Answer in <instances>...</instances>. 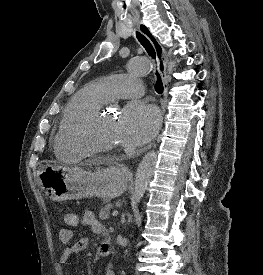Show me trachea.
<instances>
[{"label":"trachea","instance_id":"3493384b","mask_svg":"<svg viewBox=\"0 0 263 275\" xmlns=\"http://www.w3.org/2000/svg\"><path fill=\"white\" fill-rule=\"evenodd\" d=\"M136 37H137L138 41L141 43V45L145 48L147 53L152 58H155L156 53H155V50H154L152 44L150 43V41L140 32H136ZM156 76H157V81L155 84V90L158 94H162L163 93V83H162V80H161V77H160L158 71H156Z\"/></svg>","mask_w":263,"mask_h":275}]
</instances>
